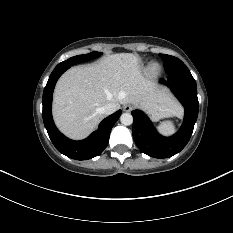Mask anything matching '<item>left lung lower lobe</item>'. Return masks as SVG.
I'll list each match as a JSON object with an SVG mask.
<instances>
[{"label":"left lung lower lobe","instance_id":"0a47b994","mask_svg":"<svg viewBox=\"0 0 233 233\" xmlns=\"http://www.w3.org/2000/svg\"><path fill=\"white\" fill-rule=\"evenodd\" d=\"M170 87L185 108L184 122L171 137H163L153 127L149 118L139 110L132 111L133 138L139 149L154 158H168L180 152L188 143L197 120L199 103L196 82L191 74L169 75L161 80Z\"/></svg>","mask_w":233,"mask_h":233}]
</instances>
